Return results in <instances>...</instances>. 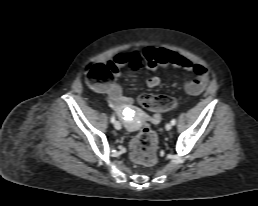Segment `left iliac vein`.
I'll return each mask as SVG.
<instances>
[{
    "label": "left iliac vein",
    "instance_id": "obj_1",
    "mask_svg": "<svg viewBox=\"0 0 258 206\" xmlns=\"http://www.w3.org/2000/svg\"><path fill=\"white\" fill-rule=\"evenodd\" d=\"M165 129L167 131L171 130L172 129V124L171 123L166 124Z\"/></svg>",
    "mask_w": 258,
    "mask_h": 206
}]
</instances>
